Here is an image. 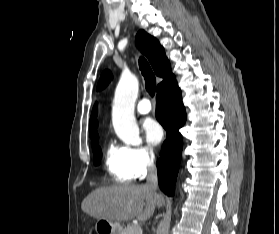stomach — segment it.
Returning a JSON list of instances; mask_svg holds the SVG:
<instances>
[{"label":"stomach","mask_w":279,"mask_h":234,"mask_svg":"<svg viewBox=\"0 0 279 234\" xmlns=\"http://www.w3.org/2000/svg\"><path fill=\"white\" fill-rule=\"evenodd\" d=\"M95 230L98 234H121L123 228L117 222H109L99 219L95 224Z\"/></svg>","instance_id":"stomach-1"}]
</instances>
